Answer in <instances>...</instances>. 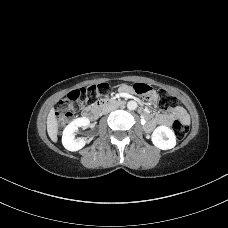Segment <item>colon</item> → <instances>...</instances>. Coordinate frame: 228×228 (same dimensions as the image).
Here are the masks:
<instances>
[{
    "label": "colon",
    "mask_w": 228,
    "mask_h": 228,
    "mask_svg": "<svg viewBox=\"0 0 228 228\" xmlns=\"http://www.w3.org/2000/svg\"><path fill=\"white\" fill-rule=\"evenodd\" d=\"M108 84L101 83L98 85H92L87 88H81L73 90L64 100H62L56 110L55 117L60 125L67 124L73 117L74 110L80 105L90 104L95 101L98 94L106 92ZM135 93L143 96H150L153 94L151 86L144 83H136L133 85ZM158 106L159 108L166 110L173 108L176 105V98L165 90H159L158 93ZM173 131L177 139L182 140L188 134V126L179 120L173 123Z\"/></svg>",
    "instance_id": "obj_1"
}]
</instances>
